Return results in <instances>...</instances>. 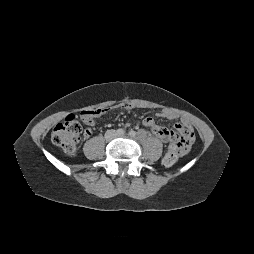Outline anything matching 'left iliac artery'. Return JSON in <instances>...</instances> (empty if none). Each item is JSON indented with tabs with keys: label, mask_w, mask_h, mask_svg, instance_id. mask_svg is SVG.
I'll list each match as a JSON object with an SVG mask.
<instances>
[{
	"label": "left iliac artery",
	"mask_w": 254,
	"mask_h": 254,
	"mask_svg": "<svg viewBox=\"0 0 254 254\" xmlns=\"http://www.w3.org/2000/svg\"><path fill=\"white\" fill-rule=\"evenodd\" d=\"M129 135H130L131 137H135V136H136V132L133 131V130H131V131L129 132Z\"/></svg>",
	"instance_id": "obj_1"
}]
</instances>
